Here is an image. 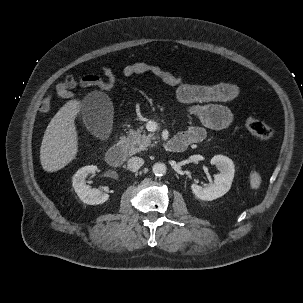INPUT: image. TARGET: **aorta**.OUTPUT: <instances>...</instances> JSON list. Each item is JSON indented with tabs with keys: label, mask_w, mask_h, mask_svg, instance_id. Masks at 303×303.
Wrapping results in <instances>:
<instances>
[{
	"label": "aorta",
	"mask_w": 303,
	"mask_h": 303,
	"mask_svg": "<svg viewBox=\"0 0 303 303\" xmlns=\"http://www.w3.org/2000/svg\"><path fill=\"white\" fill-rule=\"evenodd\" d=\"M152 171L156 176H163L167 172V167L164 163H155L152 167Z\"/></svg>",
	"instance_id": "762f6f07"
}]
</instances>
